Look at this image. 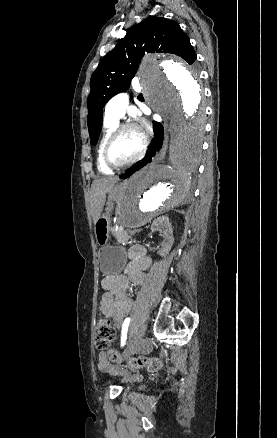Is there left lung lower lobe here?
Wrapping results in <instances>:
<instances>
[{"instance_id":"0a47b994","label":"left lung lower lobe","mask_w":277,"mask_h":438,"mask_svg":"<svg viewBox=\"0 0 277 438\" xmlns=\"http://www.w3.org/2000/svg\"><path fill=\"white\" fill-rule=\"evenodd\" d=\"M163 126L160 123L154 122V140L151 144V149L148 151V155H146L141 161H138L135 163L131 168H129L123 175L120 176L122 179H126L130 177L134 172L141 169L145 165L151 162L152 158L150 156H153L156 151L160 150L163 140Z\"/></svg>"}]
</instances>
